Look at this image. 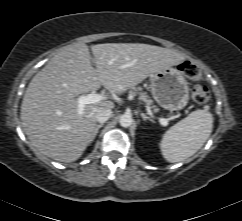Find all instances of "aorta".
Masks as SVG:
<instances>
[{
  "mask_svg": "<svg viewBox=\"0 0 242 221\" xmlns=\"http://www.w3.org/2000/svg\"><path fill=\"white\" fill-rule=\"evenodd\" d=\"M119 123L122 127H130L133 123V118L130 114H123L119 118Z\"/></svg>",
  "mask_w": 242,
  "mask_h": 221,
  "instance_id": "1",
  "label": "aorta"
}]
</instances>
